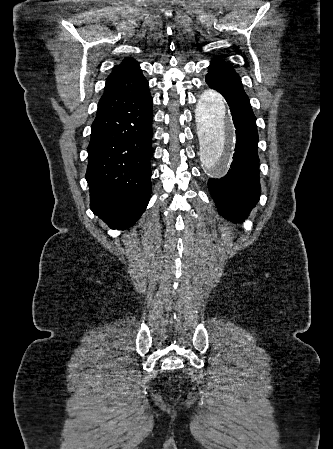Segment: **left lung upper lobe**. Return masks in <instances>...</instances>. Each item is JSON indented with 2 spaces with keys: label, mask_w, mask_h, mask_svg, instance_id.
<instances>
[{
  "label": "left lung upper lobe",
  "mask_w": 333,
  "mask_h": 449,
  "mask_svg": "<svg viewBox=\"0 0 333 449\" xmlns=\"http://www.w3.org/2000/svg\"><path fill=\"white\" fill-rule=\"evenodd\" d=\"M209 72H214L221 75H226L232 78L240 79L239 75L235 72L232 65L226 62L222 56H216L209 66Z\"/></svg>",
  "instance_id": "left-lung-upper-lobe-1"
}]
</instances>
